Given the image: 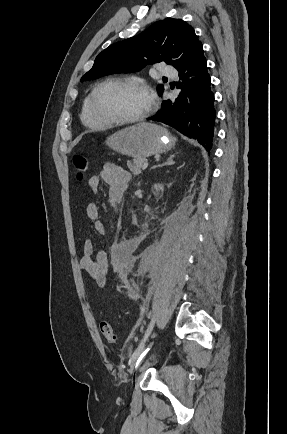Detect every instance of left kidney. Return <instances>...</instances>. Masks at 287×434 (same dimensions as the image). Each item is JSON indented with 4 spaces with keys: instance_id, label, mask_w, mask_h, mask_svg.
<instances>
[{
    "instance_id": "1",
    "label": "left kidney",
    "mask_w": 287,
    "mask_h": 434,
    "mask_svg": "<svg viewBox=\"0 0 287 434\" xmlns=\"http://www.w3.org/2000/svg\"><path fill=\"white\" fill-rule=\"evenodd\" d=\"M154 189L156 190V192H158L159 190H163V187L160 184H155Z\"/></svg>"
}]
</instances>
